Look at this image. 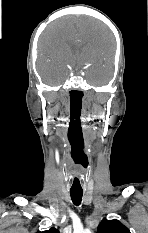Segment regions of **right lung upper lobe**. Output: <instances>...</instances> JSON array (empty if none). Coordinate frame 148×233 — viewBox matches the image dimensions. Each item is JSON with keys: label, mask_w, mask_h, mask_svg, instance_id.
Here are the masks:
<instances>
[{"label": "right lung upper lobe", "mask_w": 148, "mask_h": 233, "mask_svg": "<svg viewBox=\"0 0 148 233\" xmlns=\"http://www.w3.org/2000/svg\"><path fill=\"white\" fill-rule=\"evenodd\" d=\"M37 233H59V231L56 228H50L49 230H45L42 232H37Z\"/></svg>", "instance_id": "1"}]
</instances>
